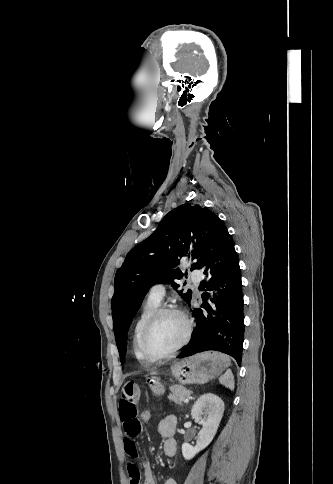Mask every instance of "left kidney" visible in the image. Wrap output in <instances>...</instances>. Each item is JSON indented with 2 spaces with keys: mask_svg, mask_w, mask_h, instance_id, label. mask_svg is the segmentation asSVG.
<instances>
[{
  "mask_svg": "<svg viewBox=\"0 0 333 484\" xmlns=\"http://www.w3.org/2000/svg\"><path fill=\"white\" fill-rule=\"evenodd\" d=\"M224 413V403L213 393L202 395L193 405L191 415L194 421L202 425L195 446L182 444V454L186 460L192 459L205 449L213 440Z\"/></svg>",
  "mask_w": 333,
  "mask_h": 484,
  "instance_id": "obj_1",
  "label": "left kidney"
}]
</instances>
